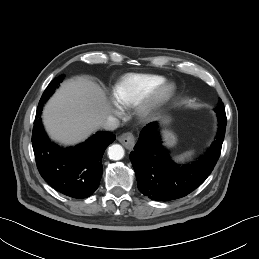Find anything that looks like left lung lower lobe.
Here are the masks:
<instances>
[{
    "mask_svg": "<svg viewBox=\"0 0 259 259\" xmlns=\"http://www.w3.org/2000/svg\"><path fill=\"white\" fill-rule=\"evenodd\" d=\"M218 134L198 161L175 164L162 146L156 123L146 125L141 133L130 160L135 170L138 189L152 200L169 201L182 198L197 187L210 175L220 156L226 129L225 111H216Z\"/></svg>",
    "mask_w": 259,
    "mask_h": 259,
    "instance_id": "obj_1",
    "label": "left lung lower lobe"
}]
</instances>
